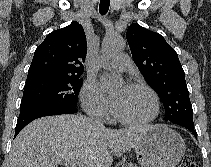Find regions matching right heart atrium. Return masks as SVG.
Returning <instances> with one entry per match:
<instances>
[{"mask_svg":"<svg viewBox=\"0 0 211 167\" xmlns=\"http://www.w3.org/2000/svg\"><path fill=\"white\" fill-rule=\"evenodd\" d=\"M81 100L84 109L91 115L105 118L109 114L106 100L98 92L94 81L88 80L82 89Z\"/></svg>","mask_w":211,"mask_h":167,"instance_id":"obj_1","label":"right heart atrium"}]
</instances>
